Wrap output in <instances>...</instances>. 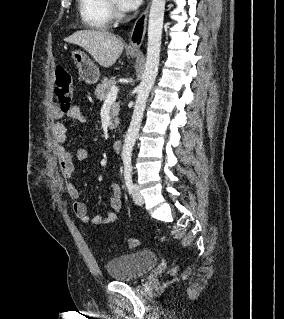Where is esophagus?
<instances>
[{
	"label": "esophagus",
	"instance_id": "1",
	"mask_svg": "<svg viewBox=\"0 0 284 319\" xmlns=\"http://www.w3.org/2000/svg\"><path fill=\"white\" fill-rule=\"evenodd\" d=\"M149 4L150 2H148L147 7L137 18L132 28L129 44L127 46V50L130 52L140 51V47L143 43L145 32H146Z\"/></svg>",
	"mask_w": 284,
	"mask_h": 319
}]
</instances>
